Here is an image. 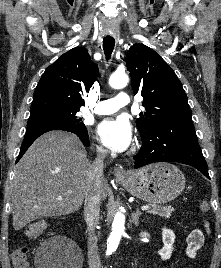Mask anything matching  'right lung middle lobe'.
Here are the masks:
<instances>
[{"label": "right lung middle lobe", "instance_id": "1", "mask_svg": "<svg viewBox=\"0 0 221 268\" xmlns=\"http://www.w3.org/2000/svg\"><path fill=\"white\" fill-rule=\"evenodd\" d=\"M78 111L72 112H54L38 115H30L27 127L39 125H54L68 128L87 130L86 126L81 122V118L77 116Z\"/></svg>", "mask_w": 221, "mask_h": 268}]
</instances>
